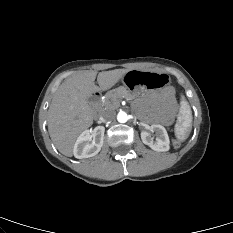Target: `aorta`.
<instances>
[{
    "label": "aorta",
    "mask_w": 233,
    "mask_h": 233,
    "mask_svg": "<svg viewBox=\"0 0 233 233\" xmlns=\"http://www.w3.org/2000/svg\"><path fill=\"white\" fill-rule=\"evenodd\" d=\"M117 120L120 123H125L128 120V115L125 112L121 111L117 115Z\"/></svg>",
    "instance_id": "obj_1"
}]
</instances>
